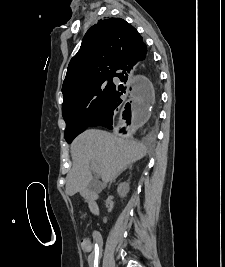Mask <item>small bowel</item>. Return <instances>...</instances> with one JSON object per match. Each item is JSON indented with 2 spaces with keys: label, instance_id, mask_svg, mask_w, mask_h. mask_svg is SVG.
<instances>
[{
  "label": "small bowel",
  "instance_id": "obj_1",
  "mask_svg": "<svg viewBox=\"0 0 225 267\" xmlns=\"http://www.w3.org/2000/svg\"><path fill=\"white\" fill-rule=\"evenodd\" d=\"M94 238H95V242H96L95 246H93V249L91 251H87V252H90L88 255L89 267H94V264L97 263L101 257V249H100L101 237H100V234L98 232H95Z\"/></svg>",
  "mask_w": 225,
  "mask_h": 267
}]
</instances>
